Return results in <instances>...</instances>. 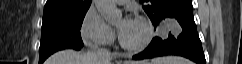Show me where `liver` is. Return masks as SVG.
<instances>
[{
	"instance_id": "6515ba94",
	"label": "liver",
	"mask_w": 242,
	"mask_h": 64,
	"mask_svg": "<svg viewBox=\"0 0 242 64\" xmlns=\"http://www.w3.org/2000/svg\"><path fill=\"white\" fill-rule=\"evenodd\" d=\"M45 64H102V63L97 58V55L94 53L80 54L73 50H63L50 56L45 61ZM132 64H144V62L138 61V62H133Z\"/></svg>"
}]
</instances>
